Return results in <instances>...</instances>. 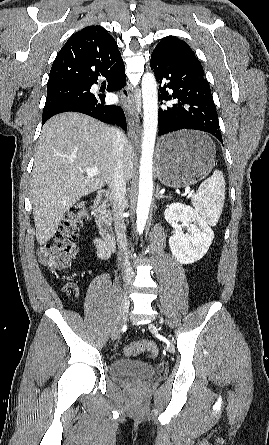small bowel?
Masks as SVG:
<instances>
[{"label": "small bowel", "instance_id": "obj_1", "mask_svg": "<svg viewBox=\"0 0 269 445\" xmlns=\"http://www.w3.org/2000/svg\"><path fill=\"white\" fill-rule=\"evenodd\" d=\"M95 244H96L98 256L102 259L108 258L109 251L106 248V246L104 245V243L100 239H97Z\"/></svg>", "mask_w": 269, "mask_h": 445}]
</instances>
